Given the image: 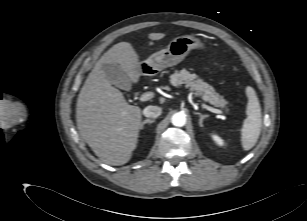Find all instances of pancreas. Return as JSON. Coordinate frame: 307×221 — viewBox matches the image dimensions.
I'll return each instance as SVG.
<instances>
[{
	"label": "pancreas",
	"instance_id": "obj_1",
	"mask_svg": "<svg viewBox=\"0 0 307 221\" xmlns=\"http://www.w3.org/2000/svg\"><path fill=\"white\" fill-rule=\"evenodd\" d=\"M170 82L173 86L185 85L190 91L201 96L204 101L209 102L215 107H225L228 102L212 86L203 82L196 74H192L186 69L176 71L170 76Z\"/></svg>",
	"mask_w": 307,
	"mask_h": 221
}]
</instances>
